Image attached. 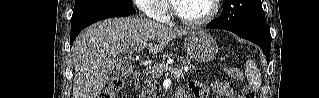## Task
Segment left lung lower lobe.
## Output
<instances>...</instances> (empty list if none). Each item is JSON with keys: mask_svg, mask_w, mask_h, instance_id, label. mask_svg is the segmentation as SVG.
Returning <instances> with one entry per match:
<instances>
[{"mask_svg": "<svg viewBox=\"0 0 319 98\" xmlns=\"http://www.w3.org/2000/svg\"><path fill=\"white\" fill-rule=\"evenodd\" d=\"M207 28H217L210 23ZM221 29V28H217ZM237 34L238 36L256 43L267 57V62L270 60L271 35L268 28H252V29H224Z\"/></svg>", "mask_w": 319, "mask_h": 98, "instance_id": "0a47b994", "label": "left lung lower lobe"}]
</instances>
